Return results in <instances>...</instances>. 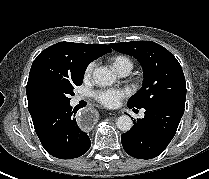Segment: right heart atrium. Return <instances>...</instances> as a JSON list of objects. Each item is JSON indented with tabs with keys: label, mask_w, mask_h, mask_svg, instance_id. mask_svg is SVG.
I'll use <instances>...</instances> for the list:
<instances>
[{
	"label": "right heart atrium",
	"mask_w": 209,
	"mask_h": 179,
	"mask_svg": "<svg viewBox=\"0 0 209 179\" xmlns=\"http://www.w3.org/2000/svg\"><path fill=\"white\" fill-rule=\"evenodd\" d=\"M94 68H95V63L94 62H91L87 65V67L85 68V71H84V78L85 79H88V78L91 77Z\"/></svg>",
	"instance_id": "d8ad5b80"
}]
</instances>
